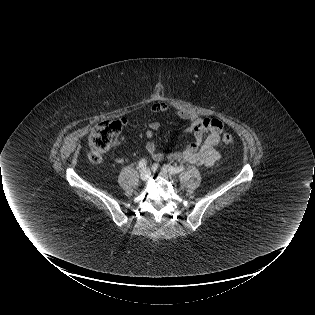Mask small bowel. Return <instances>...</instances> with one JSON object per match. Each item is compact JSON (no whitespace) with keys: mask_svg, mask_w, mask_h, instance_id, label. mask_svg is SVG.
I'll use <instances>...</instances> for the list:
<instances>
[{"mask_svg":"<svg viewBox=\"0 0 315 315\" xmlns=\"http://www.w3.org/2000/svg\"><path fill=\"white\" fill-rule=\"evenodd\" d=\"M154 114H165L169 112V106L163 102H156L150 108ZM177 115L185 122L184 132L194 136V142L186 146L182 151L164 153L158 150L155 142L149 140L145 149L150 157L155 161H176L180 163H190L205 167L213 166L221 157L218 151L220 133L223 124L215 118H204L192 114L187 110H178ZM121 126L128 124L127 118L118 120ZM160 122L154 120L149 123L145 136L152 139L160 129Z\"/></svg>","mask_w":315,"mask_h":315,"instance_id":"small-bowel-1","label":"small bowel"}]
</instances>
